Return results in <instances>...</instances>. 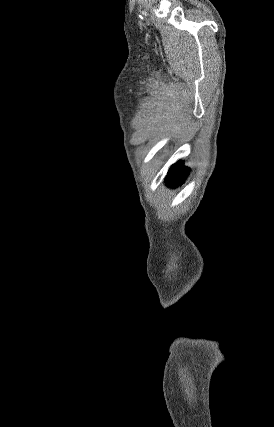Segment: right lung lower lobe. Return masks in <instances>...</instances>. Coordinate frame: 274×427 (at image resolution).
<instances>
[{"instance_id": "98d812e1", "label": "right lung lower lobe", "mask_w": 274, "mask_h": 427, "mask_svg": "<svg viewBox=\"0 0 274 427\" xmlns=\"http://www.w3.org/2000/svg\"><path fill=\"white\" fill-rule=\"evenodd\" d=\"M189 169L185 167L181 162L174 164L166 177V184L169 186H177L183 183L185 180Z\"/></svg>"}]
</instances>
